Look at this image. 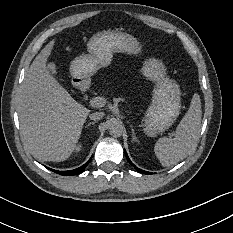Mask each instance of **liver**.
Segmentation results:
<instances>
[{
  "mask_svg": "<svg viewBox=\"0 0 233 233\" xmlns=\"http://www.w3.org/2000/svg\"><path fill=\"white\" fill-rule=\"evenodd\" d=\"M52 42L35 57L18 98L19 128L30 153L44 161H63L78 140L89 110L48 72Z\"/></svg>",
  "mask_w": 233,
  "mask_h": 233,
  "instance_id": "obj_1",
  "label": "liver"
}]
</instances>
